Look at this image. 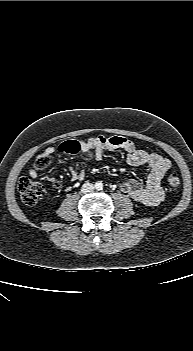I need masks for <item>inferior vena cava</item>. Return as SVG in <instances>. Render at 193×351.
I'll list each match as a JSON object with an SVG mask.
<instances>
[{
	"instance_id": "obj_1",
	"label": "inferior vena cava",
	"mask_w": 193,
	"mask_h": 351,
	"mask_svg": "<svg viewBox=\"0 0 193 351\" xmlns=\"http://www.w3.org/2000/svg\"><path fill=\"white\" fill-rule=\"evenodd\" d=\"M94 185L90 182H85L81 187V192L86 194L94 191Z\"/></svg>"
}]
</instances>
